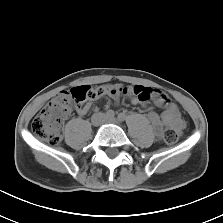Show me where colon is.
Wrapping results in <instances>:
<instances>
[{"instance_id":"obj_1","label":"colon","mask_w":223,"mask_h":223,"mask_svg":"<svg viewBox=\"0 0 223 223\" xmlns=\"http://www.w3.org/2000/svg\"><path fill=\"white\" fill-rule=\"evenodd\" d=\"M131 93L141 102H147L153 90L144 86L128 88L121 84L107 85L99 88L90 86H78L70 91H64L56 95L33 119L32 132L39 138L45 139L50 145L58 146L62 140V124L71 107L82 108L87 101L117 93ZM166 143L174 144L178 140V134L174 129H166L163 133Z\"/></svg>"}]
</instances>
